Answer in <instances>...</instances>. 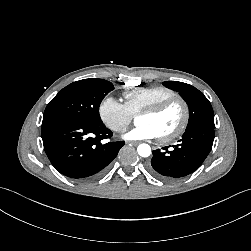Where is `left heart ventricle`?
I'll return each mask as SVG.
<instances>
[{
	"instance_id": "1",
	"label": "left heart ventricle",
	"mask_w": 251,
	"mask_h": 251,
	"mask_svg": "<svg viewBox=\"0 0 251 251\" xmlns=\"http://www.w3.org/2000/svg\"><path fill=\"white\" fill-rule=\"evenodd\" d=\"M182 118V109L174 104L158 115L142 114L137 118L138 124L151 125L159 136L172 132L179 125Z\"/></svg>"
}]
</instances>
